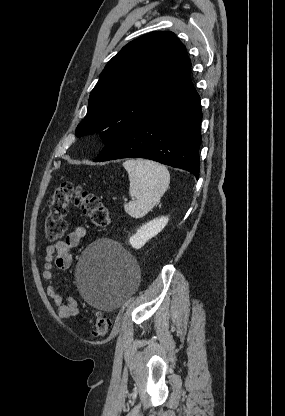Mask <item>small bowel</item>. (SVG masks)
Returning a JSON list of instances; mask_svg holds the SVG:
<instances>
[{
	"label": "small bowel",
	"instance_id": "c3829d8e",
	"mask_svg": "<svg viewBox=\"0 0 285 416\" xmlns=\"http://www.w3.org/2000/svg\"><path fill=\"white\" fill-rule=\"evenodd\" d=\"M86 236V229L78 226L64 240L50 244L46 248V257L42 279L47 282V296L57 306V315L62 320L75 317L79 313L75 298L65 296L55 285L54 269L66 270L72 264V251Z\"/></svg>",
	"mask_w": 285,
	"mask_h": 416
}]
</instances>
